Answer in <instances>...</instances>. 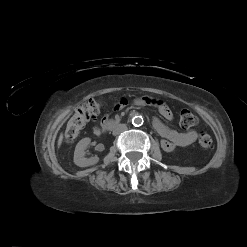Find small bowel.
<instances>
[{"label": "small bowel", "mask_w": 247, "mask_h": 247, "mask_svg": "<svg viewBox=\"0 0 247 247\" xmlns=\"http://www.w3.org/2000/svg\"><path fill=\"white\" fill-rule=\"evenodd\" d=\"M137 104H151L157 107L159 113L166 119L172 120L173 115L170 108L162 101L142 98L136 101ZM127 105V99L125 97H118L107 108L108 114H113L114 111H121ZM105 123V122H104ZM153 126L156 132L162 137L161 148L166 152H172L177 147H187L191 145L197 139V132L195 130H188L186 132H178L176 130L170 129L165 124H163L159 119L155 118L153 120ZM93 132L95 135L100 133L99 127H94Z\"/></svg>", "instance_id": "c3829d8e"}]
</instances>
